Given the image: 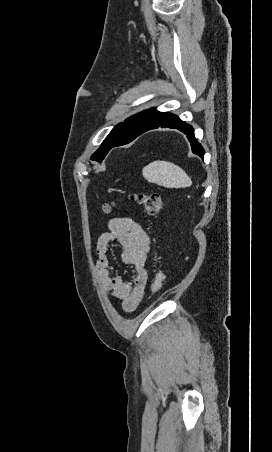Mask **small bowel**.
Returning <instances> with one entry per match:
<instances>
[{
	"label": "small bowel",
	"mask_w": 272,
	"mask_h": 452,
	"mask_svg": "<svg viewBox=\"0 0 272 452\" xmlns=\"http://www.w3.org/2000/svg\"><path fill=\"white\" fill-rule=\"evenodd\" d=\"M109 230L100 235L96 245V275L103 292L121 301L126 312H132L142 302L148 279L147 260L150 242L140 224L129 217H116L109 221ZM117 241L122 261L133 267L132 281L126 282L115 273L109 260L110 245Z\"/></svg>",
	"instance_id": "obj_1"
}]
</instances>
